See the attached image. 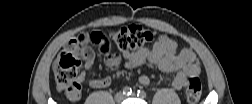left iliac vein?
I'll use <instances>...</instances> for the list:
<instances>
[{"mask_svg":"<svg viewBox=\"0 0 252 104\" xmlns=\"http://www.w3.org/2000/svg\"><path fill=\"white\" fill-rule=\"evenodd\" d=\"M136 95L135 94H132V97H135Z\"/></svg>","mask_w":252,"mask_h":104,"instance_id":"obj_1","label":"left iliac vein"}]
</instances>
